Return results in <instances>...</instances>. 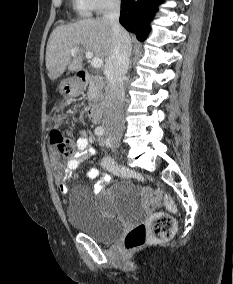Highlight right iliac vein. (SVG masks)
I'll use <instances>...</instances> for the list:
<instances>
[{
    "instance_id": "right-iliac-vein-1",
    "label": "right iliac vein",
    "mask_w": 233,
    "mask_h": 284,
    "mask_svg": "<svg viewBox=\"0 0 233 284\" xmlns=\"http://www.w3.org/2000/svg\"><path fill=\"white\" fill-rule=\"evenodd\" d=\"M118 141H120V139L119 138H116Z\"/></svg>"
}]
</instances>
